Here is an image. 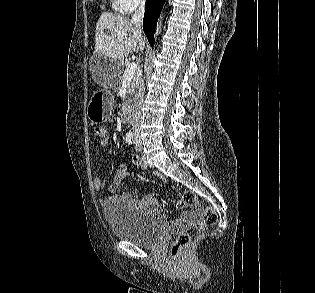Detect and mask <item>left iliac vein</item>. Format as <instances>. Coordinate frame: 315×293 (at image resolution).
Segmentation results:
<instances>
[{
    "label": "left iliac vein",
    "instance_id": "1",
    "mask_svg": "<svg viewBox=\"0 0 315 293\" xmlns=\"http://www.w3.org/2000/svg\"><path fill=\"white\" fill-rule=\"evenodd\" d=\"M134 147L137 151H141L143 148L142 141L139 136H137L134 141Z\"/></svg>",
    "mask_w": 315,
    "mask_h": 293
}]
</instances>
